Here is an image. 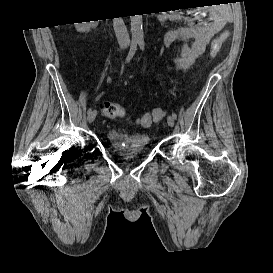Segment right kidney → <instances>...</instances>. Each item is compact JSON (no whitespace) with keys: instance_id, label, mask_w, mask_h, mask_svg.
Segmentation results:
<instances>
[{"instance_id":"obj_1","label":"right kidney","mask_w":273,"mask_h":273,"mask_svg":"<svg viewBox=\"0 0 273 273\" xmlns=\"http://www.w3.org/2000/svg\"><path fill=\"white\" fill-rule=\"evenodd\" d=\"M75 25H76L77 31L86 32V31H88L90 29V27L96 26V23L91 21L90 23L82 22V23H76Z\"/></svg>"}]
</instances>
